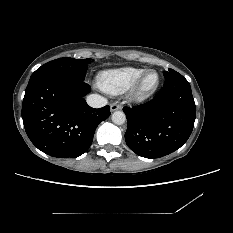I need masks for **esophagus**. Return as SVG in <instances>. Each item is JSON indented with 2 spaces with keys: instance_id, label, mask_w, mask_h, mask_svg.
Instances as JSON below:
<instances>
[{
  "instance_id": "1",
  "label": "esophagus",
  "mask_w": 233,
  "mask_h": 233,
  "mask_svg": "<svg viewBox=\"0 0 233 233\" xmlns=\"http://www.w3.org/2000/svg\"><path fill=\"white\" fill-rule=\"evenodd\" d=\"M119 109H121V106H120L117 102L112 103V104L110 105V110H111V112L117 111V110H119Z\"/></svg>"
}]
</instances>
